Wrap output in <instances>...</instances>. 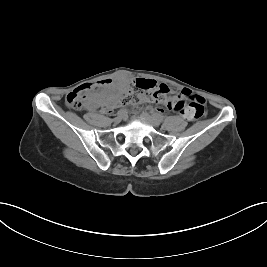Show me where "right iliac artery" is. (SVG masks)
I'll return each mask as SVG.
<instances>
[{"mask_svg":"<svg viewBox=\"0 0 267 267\" xmlns=\"http://www.w3.org/2000/svg\"><path fill=\"white\" fill-rule=\"evenodd\" d=\"M125 113H126V110H125V109H121V110L118 111L117 114H118V115H120V114L123 115V114H125Z\"/></svg>","mask_w":267,"mask_h":267,"instance_id":"82829eb1","label":"right iliac artery"}]
</instances>
